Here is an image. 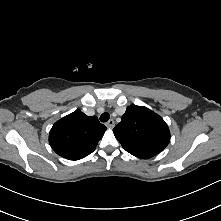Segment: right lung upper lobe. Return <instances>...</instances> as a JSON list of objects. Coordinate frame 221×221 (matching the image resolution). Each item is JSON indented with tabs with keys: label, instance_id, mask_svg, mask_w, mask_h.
I'll use <instances>...</instances> for the list:
<instances>
[{
	"label": "right lung upper lobe",
	"instance_id": "cb5924a9",
	"mask_svg": "<svg viewBox=\"0 0 221 221\" xmlns=\"http://www.w3.org/2000/svg\"><path fill=\"white\" fill-rule=\"evenodd\" d=\"M106 129L96 116L89 117L76 110L53 125L49 143L58 155L79 160L95 150Z\"/></svg>",
	"mask_w": 221,
	"mask_h": 221
}]
</instances>
